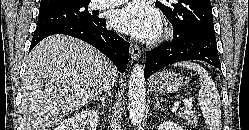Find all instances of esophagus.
I'll use <instances>...</instances> for the list:
<instances>
[{
  "instance_id": "34e87169",
  "label": "esophagus",
  "mask_w": 249,
  "mask_h": 130,
  "mask_svg": "<svg viewBox=\"0 0 249 130\" xmlns=\"http://www.w3.org/2000/svg\"><path fill=\"white\" fill-rule=\"evenodd\" d=\"M130 54H131L132 60H138L141 56V50L137 45L131 43Z\"/></svg>"
}]
</instances>
